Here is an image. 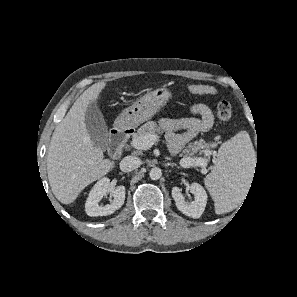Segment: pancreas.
<instances>
[{"label":"pancreas","instance_id":"pancreas-1","mask_svg":"<svg viewBox=\"0 0 297 297\" xmlns=\"http://www.w3.org/2000/svg\"><path fill=\"white\" fill-rule=\"evenodd\" d=\"M156 133H160V128L158 127L156 122L149 121L138 129L137 133L134 134L133 139L144 136L146 134L155 135ZM199 145H200V148H205L208 146L203 144H199ZM194 152L188 153V155L193 156Z\"/></svg>","mask_w":297,"mask_h":297}]
</instances>
